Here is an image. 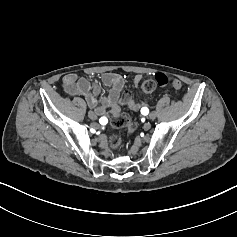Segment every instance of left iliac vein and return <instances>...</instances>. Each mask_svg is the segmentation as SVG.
<instances>
[{
    "label": "left iliac vein",
    "instance_id": "left-iliac-vein-1",
    "mask_svg": "<svg viewBox=\"0 0 237 237\" xmlns=\"http://www.w3.org/2000/svg\"><path fill=\"white\" fill-rule=\"evenodd\" d=\"M156 116H157L156 112H151V113L149 114L148 118L151 119V120H153V119L156 118Z\"/></svg>",
    "mask_w": 237,
    "mask_h": 237
}]
</instances>
